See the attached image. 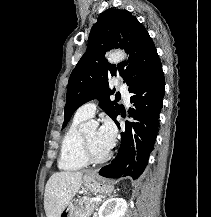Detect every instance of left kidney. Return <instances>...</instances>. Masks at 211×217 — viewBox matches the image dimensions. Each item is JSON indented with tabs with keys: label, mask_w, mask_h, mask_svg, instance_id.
Segmentation results:
<instances>
[{
	"label": "left kidney",
	"mask_w": 211,
	"mask_h": 217,
	"mask_svg": "<svg viewBox=\"0 0 211 217\" xmlns=\"http://www.w3.org/2000/svg\"><path fill=\"white\" fill-rule=\"evenodd\" d=\"M128 205L123 198L111 197L98 210V217H124Z\"/></svg>",
	"instance_id": "1"
}]
</instances>
